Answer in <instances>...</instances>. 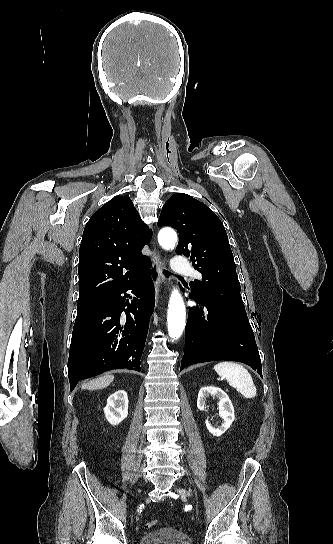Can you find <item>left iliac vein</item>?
Instances as JSON below:
<instances>
[{"instance_id":"obj_1","label":"left iliac vein","mask_w":333,"mask_h":544,"mask_svg":"<svg viewBox=\"0 0 333 544\" xmlns=\"http://www.w3.org/2000/svg\"><path fill=\"white\" fill-rule=\"evenodd\" d=\"M179 492H180L181 496L184 497V498H185V497H191V493L188 492V491L185 490V489H182V488H181V489H179Z\"/></svg>"}]
</instances>
